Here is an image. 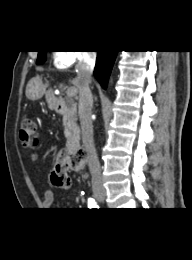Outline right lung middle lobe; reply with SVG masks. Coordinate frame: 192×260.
<instances>
[{
  "label": "right lung middle lobe",
  "instance_id": "dd1d6c3e",
  "mask_svg": "<svg viewBox=\"0 0 192 260\" xmlns=\"http://www.w3.org/2000/svg\"><path fill=\"white\" fill-rule=\"evenodd\" d=\"M46 52L47 51H39L37 64H43L46 60Z\"/></svg>",
  "mask_w": 192,
  "mask_h": 260
}]
</instances>
